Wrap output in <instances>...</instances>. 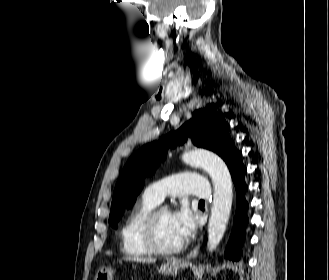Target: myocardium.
<instances>
[{"label": "myocardium", "instance_id": "1", "mask_svg": "<svg viewBox=\"0 0 329 280\" xmlns=\"http://www.w3.org/2000/svg\"><path fill=\"white\" fill-rule=\"evenodd\" d=\"M163 210L167 209L157 207L148 214L142 226V238L150 252L160 255H171L181 251L184 243L181 241L173 247L162 246L159 243L157 237V220Z\"/></svg>", "mask_w": 329, "mask_h": 280}]
</instances>
